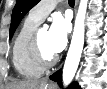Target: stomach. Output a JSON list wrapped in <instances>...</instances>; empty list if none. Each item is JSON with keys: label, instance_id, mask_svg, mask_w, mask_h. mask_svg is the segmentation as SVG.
I'll return each instance as SVG.
<instances>
[{"label": "stomach", "instance_id": "stomach-1", "mask_svg": "<svg viewBox=\"0 0 107 89\" xmlns=\"http://www.w3.org/2000/svg\"><path fill=\"white\" fill-rule=\"evenodd\" d=\"M43 89H56L54 85L46 84Z\"/></svg>", "mask_w": 107, "mask_h": 89}]
</instances>
